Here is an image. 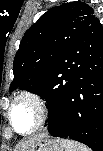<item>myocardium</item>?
<instances>
[{"mask_svg": "<svg viewBox=\"0 0 103 151\" xmlns=\"http://www.w3.org/2000/svg\"><path fill=\"white\" fill-rule=\"evenodd\" d=\"M20 101H28V102L32 103L36 109V114H37V120H36L35 125L33 126V128H31L30 130H28L26 132H20L15 128L13 120H12V116H11L13 108ZM6 116H7L10 126L16 133L23 135V136H27V135L33 134V133L37 132L38 130H40L41 128H43V126L45 125L47 118H48V108H47L44 98L40 94H38L34 91L24 90V91L18 93L13 98V100L11 101V103L8 107Z\"/></svg>", "mask_w": 103, "mask_h": 151, "instance_id": "obj_1", "label": "myocardium"}]
</instances>
